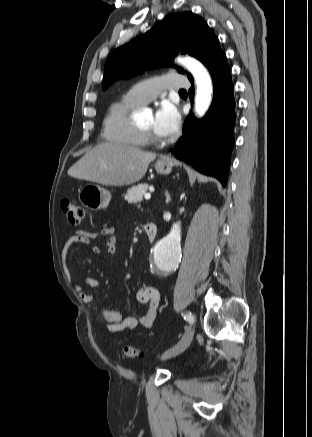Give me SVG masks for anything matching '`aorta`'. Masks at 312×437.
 Wrapping results in <instances>:
<instances>
[{
	"mask_svg": "<svg viewBox=\"0 0 312 437\" xmlns=\"http://www.w3.org/2000/svg\"><path fill=\"white\" fill-rule=\"evenodd\" d=\"M178 62L184 65L194 76L197 93L195 97V112L203 116L212 100V81L204 66L197 60L186 57L179 58ZM181 225L174 223L170 233L161 239L154 248V262L159 272L173 270L181 258Z\"/></svg>",
	"mask_w": 312,
	"mask_h": 437,
	"instance_id": "762f6f07",
	"label": "aorta"
}]
</instances>
